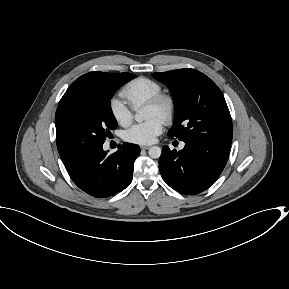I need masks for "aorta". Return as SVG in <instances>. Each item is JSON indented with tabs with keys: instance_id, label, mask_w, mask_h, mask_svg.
I'll return each mask as SVG.
<instances>
[{
	"instance_id": "aorta-1",
	"label": "aorta",
	"mask_w": 289,
	"mask_h": 289,
	"mask_svg": "<svg viewBox=\"0 0 289 289\" xmlns=\"http://www.w3.org/2000/svg\"><path fill=\"white\" fill-rule=\"evenodd\" d=\"M146 116L142 110L135 114V120L137 122H142L145 120ZM161 148L158 146H153L149 149L148 154L151 158L158 159L161 156Z\"/></svg>"
}]
</instances>
